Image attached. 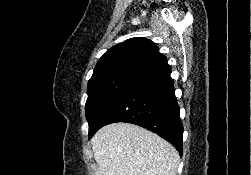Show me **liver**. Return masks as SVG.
I'll return each instance as SVG.
<instances>
[{
  "label": "liver",
  "instance_id": "6515ba94",
  "mask_svg": "<svg viewBox=\"0 0 251 175\" xmlns=\"http://www.w3.org/2000/svg\"><path fill=\"white\" fill-rule=\"evenodd\" d=\"M91 141L97 175H176L178 151L144 127L110 123Z\"/></svg>",
  "mask_w": 251,
  "mask_h": 175
}]
</instances>
